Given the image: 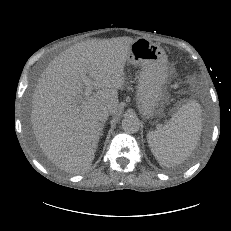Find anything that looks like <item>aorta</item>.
Returning <instances> with one entry per match:
<instances>
[{
  "label": "aorta",
  "mask_w": 231,
  "mask_h": 231,
  "mask_svg": "<svg viewBox=\"0 0 231 231\" xmlns=\"http://www.w3.org/2000/svg\"><path fill=\"white\" fill-rule=\"evenodd\" d=\"M140 121L137 117L126 116L122 120V129L129 134H133L139 131Z\"/></svg>",
  "instance_id": "aorta-1"
}]
</instances>
